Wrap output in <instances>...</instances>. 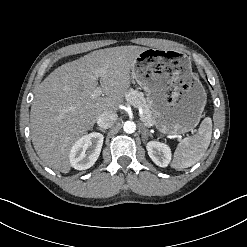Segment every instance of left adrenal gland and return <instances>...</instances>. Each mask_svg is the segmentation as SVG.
Wrapping results in <instances>:
<instances>
[{"instance_id": "left-adrenal-gland-1", "label": "left adrenal gland", "mask_w": 247, "mask_h": 247, "mask_svg": "<svg viewBox=\"0 0 247 247\" xmlns=\"http://www.w3.org/2000/svg\"><path fill=\"white\" fill-rule=\"evenodd\" d=\"M141 127H142V138H143V141H145L148 136L152 137V134L148 131V129L145 128V126H143V124H141Z\"/></svg>"}]
</instances>
